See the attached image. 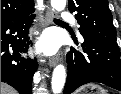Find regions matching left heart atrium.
I'll return each instance as SVG.
<instances>
[{
  "label": "left heart atrium",
  "instance_id": "left-heart-atrium-1",
  "mask_svg": "<svg viewBox=\"0 0 121 94\" xmlns=\"http://www.w3.org/2000/svg\"><path fill=\"white\" fill-rule=\"evenodd\" d=\"M55 47L54 40L51 38H47L44 42V48L46 51H52Z\"/></svg>",
  "mask_w": 121,
  "mask_h": 94
}]
</instances>
